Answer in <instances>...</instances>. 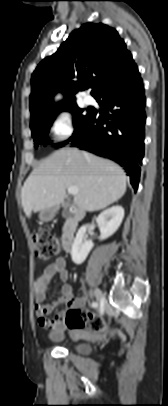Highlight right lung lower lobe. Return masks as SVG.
<instances>
[{
    "instance_id": "right-lung-lower-lobe-1",
    "label": "right lung lower lobe",
    "mask_w": 168,
    "mask_h": 406,
    "mask_svg": "<svg viewBox=\"0 0 168 406\" xmlns=\"http://www.w3.org/2000/svg\"><path fill=\"white\" fill-rule=\"evenodd\" d=\"M101 111L92 110L72 145L125 167L136 191L144 156L145 95L137 66L96 96Z\"/></svg>"
}]
</instances>
